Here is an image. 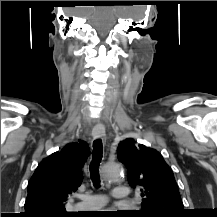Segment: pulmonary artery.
<instances>
[{
    "label": "pulmonary artery",
    "instance_id": "pulmonary-artery-1",
    "mask_svg": "<svg viewBox=\"0 0 217 217\" xmlns=\"http://www.w3.org/2000/svg\"><path fill=\"white\" fill-rule=\"evenodd\" d=\"M114 199H127L128 188L125 186H116L112 191ZM82 201L75 207L83 210L100 209L107 203V198L102 194H85L81 197Z\"/></svg>",
    "mask_w": 217,
    "mask_h": 217
}]
</instances>
